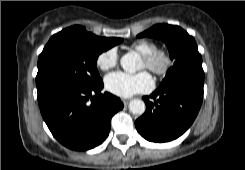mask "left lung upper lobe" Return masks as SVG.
I'll use <instances>...</instances> for the list:
<instances>
[{"label": "left lung upper lobe", "mask_w": 245, "mask_h": 170, "mask_svg": "<svg viewBox=\"0 0 245 170\" xmlns=\"http://www.w3.org/2000/svg\"><path fill=\"white\" fill-rule=\"evenodd\" d=\"M145 36L161 39L168 46L170 58L175 60L159 88L182 80L204 83L202 57L194 38L186 31L179 26L157 24L138 35Z\"/></svg>", "instance_id": "left-lung-upper-lobe-1"}]
</instances>
